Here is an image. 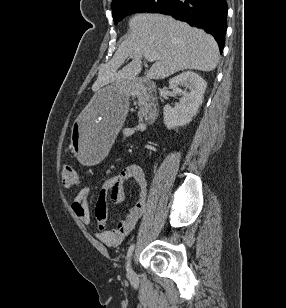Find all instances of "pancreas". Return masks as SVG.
<instances>
[{"mask_svg": "<svg viewBox=\"0 0 286 308\" xmlns=\"http://www.w3.org/2000/svg\"><path fill=\"white\" fill-rule=\"evenodd\" d=\"M138 99L139 105V120H142L144 117L147 116L148 110L151 107L150 103V95L145 91L135 90L133 94Z\"/></svg>", "mask_w": 286, "mask_h": 308, "instance_id": "cf45deb5", "label": "pancreas"}]
</instances>
